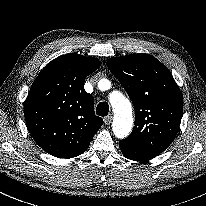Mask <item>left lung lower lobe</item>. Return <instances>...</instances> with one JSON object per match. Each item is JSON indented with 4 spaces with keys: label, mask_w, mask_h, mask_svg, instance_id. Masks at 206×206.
Returning <instances> with one entry per match:
<instances>
[{
    "label": "left lung lower lobe",
    "mask_w": 206,
    "mask_h": 206,
    "mask_svg": "<svg viewBox=\"0 0 206 206\" xmlns=\"http://www.w3.org/2000/svg\"><path fill=\"white\" fill-rule=\"evenodd\" d=\"M119 147H120V150L122 151L123 156L133 161L144 162L158 155L156 153L148 152V151L139 149L135 146L125 144L122 141L119 142Z\"/></svg>",
    "instance_id": "obj_1"
}]
</instances>
